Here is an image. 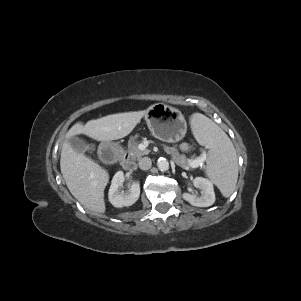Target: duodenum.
<instances>
[{"label": "duodenum", "instance_id": "obj_1", "mask_svg": "<svg viewBox=\"0 0 301 301\" xmlns=\"http://www.w3.org/2000/svg\"><path fill=\"white\" fill-rule=\"evenodd\" d=\"M97 154L102 162L110 165L114 166L121 162L122 168L127 172H132L136 169V163L124 154L121 147L110 141H103Z\"/></svg>", "mask_w": 301, "mask_h": 301}]
</instances>
